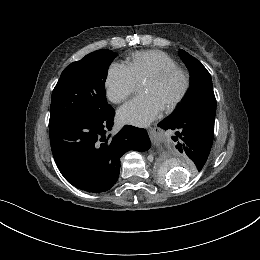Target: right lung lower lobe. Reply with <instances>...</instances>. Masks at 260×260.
Instances as JSON below:
<instances>
[{"mask_svg":"<svg viewBox=\"0 0 260 260\" xmlns=\"http://www.w3.org/2000/svg\"><path fill=\"white\" fill-rule=\"evenodd\" d=\"M115 111L97 119L68 118L49 122L54 160L64 178L75 187L92 193L108 191L117 181L120 158L129 150L150 148L145 129L124 126L114 137Z\"/></svg>","mask_w":260,"mask_h":260,"instance_id":"1","label":"right lung lower lobe"}]
</instances>
